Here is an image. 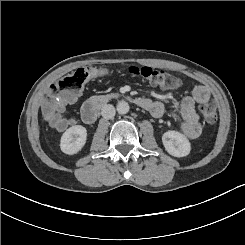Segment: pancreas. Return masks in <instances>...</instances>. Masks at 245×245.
<instances>
[{
	"mask_svg": "<svg viewBox=\"0 0 245 245\" xmlns=\"http://www.w3.org/2000/svg\"><path fill=\"white\" fill-rule=\"evenodd\" d=\"M117 96H119V95L117 93H115V94H112L110 97L115 98Z\"/></svg>",
	"mask_w": 245,
	"mask_h": 245,
	"instance_id": "cf45deb5",
	"label": "pancreas"
}]
</instances>
